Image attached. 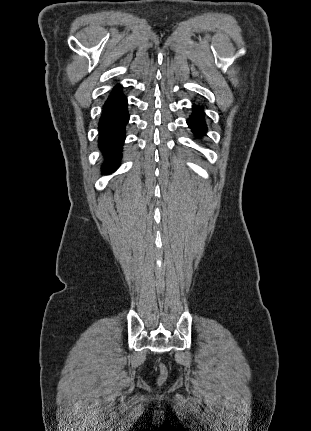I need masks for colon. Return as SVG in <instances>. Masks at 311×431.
<instances>
[{"mask_svg": "<svg viewBox=\"0 0 311 431\" xmlns=\"http://www.w3.org/2000/svg\"><path fill=\"white\" fill-rule=\"evenodd\" d=\"M159 368H160L162 377H164L165 374H166V367H165V365L163 363H159Z\"/></svg>", "mask_w": 311, "mask_h": 431, "instance_id": "obj_1", "label": "colon"}]
</instances>
